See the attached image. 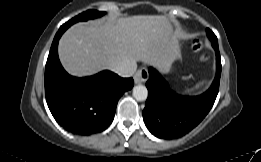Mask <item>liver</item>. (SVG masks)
I'll return each mask as SVG.
<instances>
[{"label": "liver", "instance_id": "obj_1", "mask_svg": "<svg viewBox=\"0 0 261 162\" xmlns=\"http://www.w3.org/2000/svg\"><path fill=\"white\" fill-rule=\"evenodd\" d=\"M177 36L165 16L135 15L77 23L62 36L58 54L73 76H88L142 61L162 69L175 60Z\"/></svg>", "mask_w": 261, "mask_h": 162}]
</instances>
